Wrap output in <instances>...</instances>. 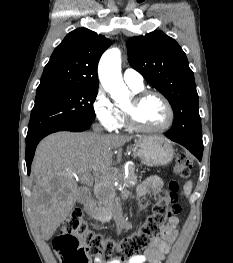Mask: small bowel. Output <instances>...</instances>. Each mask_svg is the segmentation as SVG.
Listing matches in <instances>:
<instances>
[{
	"label": "small bowel",
	"mask_w": 233,
	"mask_h": 263,
	"mask_svg": "<svg viewBox=\"0 0 233 263\" xmlns=\"http://www.w3.org/2000/svg\"><path fill=\"white\" fill-rule=\"evenodd\" d=\"M162 188V181L157 176H148L142 184L137 187V197L145 199L150 193L157 195ZM179 219L174 216L168 219L163 226L160 236L152 240L145 252L131 259L121 261L117 259L103 260L99 257L93 259L91 263H163L170 252V244L176 239L178 234Z\"/></svg>",
	"instance_id": "1"
}]
</instances>
